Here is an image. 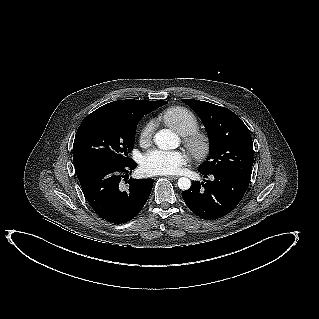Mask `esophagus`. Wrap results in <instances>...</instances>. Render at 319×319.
<instances>
[{
	"instance_id": "34e87169",
	"label": "esophagus",
	"mask_w": 319,
	"mask_h": 319,
	"mask_svg": "<svg viewBox=\"0 0 319 319\" xmlns=\"http://www.w3.org/2000/svg\"><path fill=\"white\" fill-rule=\"evenodd\" d=\"M169 179H172V180H175V179H178L179 176H167Z\"/></svg>"
}]
</instances>
